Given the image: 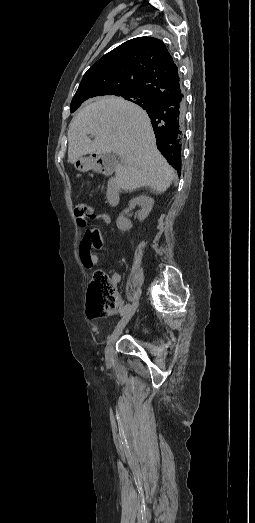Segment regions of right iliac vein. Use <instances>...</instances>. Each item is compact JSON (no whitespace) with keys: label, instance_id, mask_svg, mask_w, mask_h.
Masks as SVG:
<instances>
[{"label":"right iliac vein","instance_id":"right-iliac-vein-1","mask_svg":"<svg viewBox=\"0 0 255 523\" xmlns=\"http://www.w3.org/2000/svg\"><path fill=\"white\" fill-rule=\"evenodd\" d=\"M138 304H139L138 301H136L129 307V309L125 312V314L123 315L121 320L118 322L115 330L111 334V336L108 340L107 346H106V350H105V355H106L107 360L112 359L113 351H114V344H115L116 340L118 339L119 335L121 334V332L123 331V329L125 328V326L128 324L129 320L134 315V313L138 307Z\"/></svg>","mask_w":255,"mask_h":523}]
</instances>
